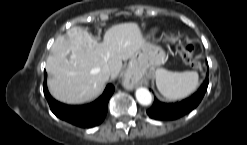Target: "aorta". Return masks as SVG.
Returning a JSON list of instances; mask_svg holds the SVG:
<instances>
[{
	"label": "aorta",
	"instance_id": "aorta-1",
	"mask_svg": "<svg viewBox=\"0 0 247 145\" xmlns=\"http://www.w3.org/2000/svg\"><path fill=\"white\" fill-rule=\"evenodd\" d=\"M136 99L137 101L144 106L150 105L152 102V94L150 91L144 87L136 89Z\"/></svg>",
	"mask_w": 247,
	"mask_h": 145
}]
</instances>
